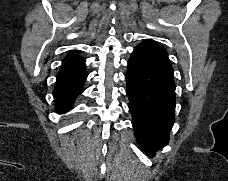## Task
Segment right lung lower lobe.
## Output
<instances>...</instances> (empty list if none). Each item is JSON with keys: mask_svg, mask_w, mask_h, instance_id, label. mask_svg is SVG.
Here are the masks:
<instances>
[{"mask_svg": "<svg viewBox=\"0 0 228 181\" xmlns=\"http://www.w3.org/2000/svg\"><path fill=\"white\" fill-rule=\"evenodd\" d=\"M84 63L76 51L64 58L53 90L57 113L69 111L76 97L83 92L82 85L88 75Z\"/></svg>", "mask_w": 228, "mask_h": 181, "instance_id": "98d812e1", "label": "right lung lower lobe"}]
</instances>
